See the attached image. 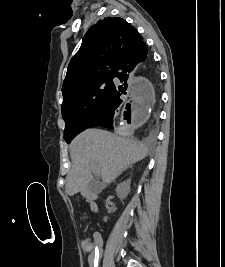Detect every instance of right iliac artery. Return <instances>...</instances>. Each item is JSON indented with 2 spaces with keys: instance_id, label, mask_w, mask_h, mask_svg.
<instances>
[{
  "instance_id": "right-iliac-artery-1",
  "label": "right iliac artery",
  "mask_w": 225,
  "mask_h": 267,
  "mask_svg": "<svg viewBox=\"0 0 225 267\" xmlns=\"http://www.w3.org/2000/svg\"><path fill=\"white\" fill-rule=\"evenodd\" d=\"M97 264H98V263H97V262H95V263H94V267H97Z\"/></svg>"
}]
</instances>
